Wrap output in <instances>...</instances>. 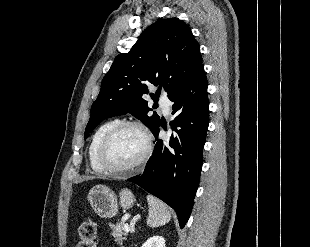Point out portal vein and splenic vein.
I'll return each instance as SVG.
<instances>
[{"label": "portal vein and splenic vein", "instance_id": "obj_1", "mask_svg": "<svg viewBox=\"0 0 310 247\" xmlns=\"http://www.w3.org/2000/svg\"><path fill=\"white\" fill-rule=\"evenodd\" d=\"M123 229L125 232H129L130 231V227L128 224H124Z\"/></svg>", "mask_w": 310, "mask_h": 247}]
</instances>
